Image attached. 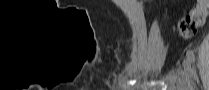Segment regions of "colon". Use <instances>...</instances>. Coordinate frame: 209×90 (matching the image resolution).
<instances>
[{"label": "colon", "instance_id": "obj_1", "mask_svg": "<svg viewBox=\"0 0 209 90\" xmlns=\"http://www.w3.org/2000/svg\"><path fill=\"white\" fill-rule=\"evenodd\" d=\"M209 13V0H199L196 6L175 26V31L183 38L191 37L198 27L205 23Z\"/></svg>", "mask_w": 209, "mask_h": 90}]
</instances>
